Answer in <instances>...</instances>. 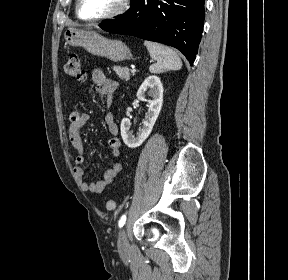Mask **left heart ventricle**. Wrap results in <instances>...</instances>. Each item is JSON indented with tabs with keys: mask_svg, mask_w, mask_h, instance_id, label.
Segmentation results:
<instances>
[{
	"mask_svg": "<svg viewBox=\"0 0 288 280\" xmlns=\"http://www.w3.org/2000/svg\"><path fill=\"white\" fill-rule=\"evenodd\" d=\"M122 0H81L80 13L85 18H96L115 10Z\"/></svg>",
	"mask_w": 288,
	"mask_h": 280,
	"instance_id": "1",
	"label": "left heart ventricle"
}]
</instances>
